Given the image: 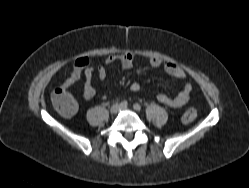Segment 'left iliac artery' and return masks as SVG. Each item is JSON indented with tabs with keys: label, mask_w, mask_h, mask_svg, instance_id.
Here are the masks:
<instances>
[{
	"label": "left iliac artery",
	"mask_w": 249,
	"mask_h": 188,
	"mask_svg": "<svg viewBox=\"0 0 249 188\" xmlns=\"http://www.w3.org/2000/svg\"><path fill=\"white\" fill-rule=\"evenodd\" d=\"M133 108H134L135 110H137V111H140V110H141V106H140L138 103H135V104L133 105Z\"/></svg>",
	"instance_id": "obj_1"
}]
</instances>
